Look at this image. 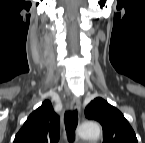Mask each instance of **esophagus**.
I'll return each mask as SVG.
<instances>
[{
    "label": "esophagus",
    "mask_w": 145,
    "mask_h": 143,
    "mask_svg": "<svg viewBox=\"0 0 145 143\" xmlns=\"http://www.w3.org/2000/svg\"><path fill=\"white\" fill-rule=\"evenodd\" d=\"M70 108L72 110H78L79 112L81 111V102L80 99L75 97L72 99L71 104H70Z\"/></svg>",
    "instance_id": "obj_1"
}]
</instances>
